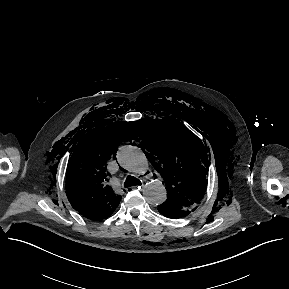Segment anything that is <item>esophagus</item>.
Masks as SVG:
<instances>
[{
    "instance_id": "34e87169",
    "label": "esophagus",
    "mask_w": 289,
    "mask_h": 289,
    "mask_svg": "<svg viewBox=\"0 0 289 289\" xmlns=\"http://www.w3.org/2000/svg\"><path fill=\"white\" fill-rule=\"evenodd\" d=\"M143 187V185H140V186H136V188H138L139 190ZM135 188V187H133Z\"/></svg>"
}]
</instances>
